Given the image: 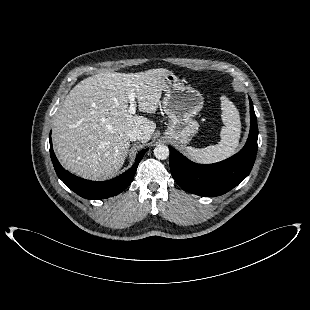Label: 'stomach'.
Instances as JSON below:
<instances>
[{
	"instance_id": "1",
	"label": "stomach",
	"mask_w": 310,
	"mask_h": 310,
	"mask_svg": "<svg viewBox=\"0 0 310 310\" xmlns=\"http://www.w3.org/2000/svg\"><path fill=\"white\" fill-rule=\"evenodd\" d=\"M164 84L163 110L169 117L165 135L185 145L198 132V122L193 118L203 107V97L173 73L164 77Z\"/></svg>"
}]
</instances>
